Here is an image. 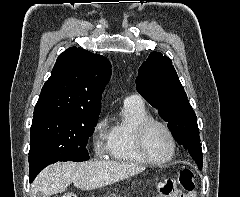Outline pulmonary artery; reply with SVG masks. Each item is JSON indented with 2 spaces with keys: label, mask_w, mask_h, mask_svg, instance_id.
I'll return each instance as SVG.
<instances>
[{
  "label": "pulmonary artery",
  "mask_w": 240,
  "mask_h": 197,
  "mask_svg": "<svg viewBox=\"0 0 240 197\" xmlns=\"http://www.w3.org/2000/svg\"><path fill=\"white\" fill-rule=\"evenodd\" d=\"M124 104L143 105L142 98L137 94L128 95L124 98Z\"/></svg>",
  "instance_id": "pulmonary-artery-1"
}]
</instances>
